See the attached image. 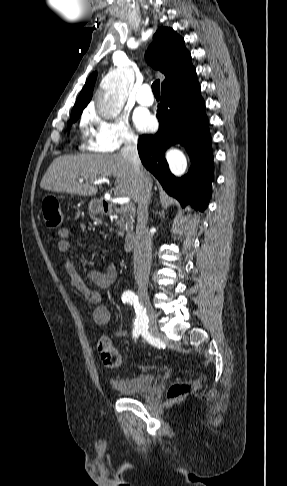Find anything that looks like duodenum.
I'll return each instance as SVG.
<instances>
[{
  "instance_id": "obj_1",
  "label": "duodenum",
  "mask_w": 287,
  "mask_h": 486,
  "mask_svg": "<svg viewBox=\"0 0 287 486\" xmlns=\"http://www.w3.org/2000/svg\"><path fill=\"white\" fill-rule=\"evenodd\" d=\"M101 209L105 214H111L113 212V206L110 202L102 200L100 203ZM135 244V233L133 231L128 232L124 238L125 251H131Z\"/></svg>"
}]
</instances>
